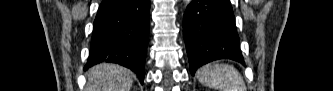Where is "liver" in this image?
Here are the masks:
<instances>
[{
	"instance_id": "obj_1",
	"label": "liver",
	"mask_w": 333,
	"mask_h": 91,
	"mask_svg": "<svg viewBox=\"0 0 333 91\" xmlns=\"http://www.w3.org/2000/svg\"><path fill=\"white\" fill-rule=\"evenodd\" d=\"M86 76V91H130L133 84L130 72L116 64L96 65Z\"/></svg>"
}]
</instances>
